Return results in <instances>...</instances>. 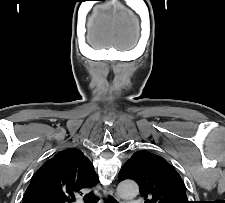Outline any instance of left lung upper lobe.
<instances>
[{"label": "left lung upper lobe", "mask_w": 225, "mask_h": 203, "mask_svg": "<svg viewBox=\"0 0 225 203\" xmlns=\"http://www.w3.org/2000/svg\"><path fill=\"white\" fill-rule=\"evenodd\" d=\"M118 179H132L144 203H190L177 171L162 157L147 151L135 152L121 167Z\"/></svg>", "instance_id": "1"}]
</instances>
